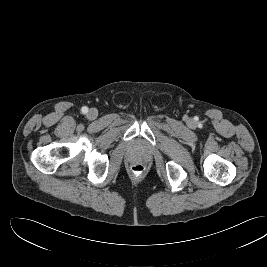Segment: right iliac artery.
Wrapping results in <instances>:
<instances>
[{
	"instance_id": "1",
	"label": "right iliac artery",
	"mask_w": 267,
	"mask_h": 267,
	"mask_svg": "<svg viewBox=\"0 0 267 267\" xmlns=\"http://www.w3.org/2000/svg\"><path fill=\"white\" fill-rule=\"evenodd\" d=\"M81 112H82L83 114H86V113L88 112V107L83 106V107L81 108Z\"/></svg>"
}]
</instances>
